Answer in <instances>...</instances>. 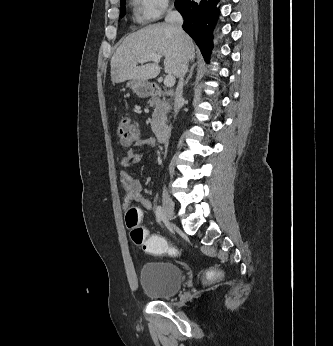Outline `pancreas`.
<instances>
[{"mask_svg":"<svg viewBox=\"0 0 333 346\" xmlns=\"http://www.w3.org/2000/svg\"><path fill=\"white\" fill-rule=\"evenodd\" d=\"M149 103L151 107H154L151 120V129L154 133H158L167 120V111L169 106L165 100H161L159 98H152Z\"/></svg>","mask_w":333,"mask_h":346,"instance_id":"obj_1","label":"pancreas"}]
</instances>
